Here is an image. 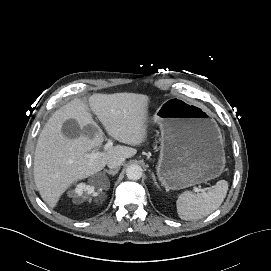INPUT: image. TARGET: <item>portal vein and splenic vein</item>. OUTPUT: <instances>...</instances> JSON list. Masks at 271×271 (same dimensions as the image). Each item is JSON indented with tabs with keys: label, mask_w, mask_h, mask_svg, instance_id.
<instances>
[{
	"label": "portal vein and splenic vein",
	"mask_w": 271,
	"mask_h": 271,
	"mask_svg": "<svg viewBox=\"0 0 271 271\" xmlns=\"http://www.w3.org/2000/svg\"><path fill=\"white\" fill-rule=\"evenodd\" d=\"M113 145L112 140H108V142L105 144L104 149L107 150L109 148H111ZM102 155V152H92V153H88L86 154V157L90 159V161H93L94 159L98 158L99 156ZM193 190L197 193L199 192H205L206 189H200L198 187H194Z\"/></svg>",
	"instance_id": "obj_1"
}]
</instances>
